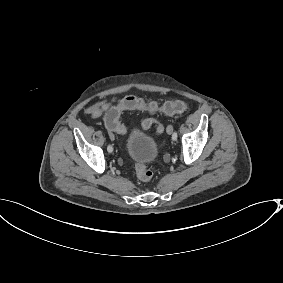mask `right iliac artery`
Segmentation results:
<instances>
[{"mask_svg":"<svg viewBox=\"0 0 283 283\" xmlns=\"http://www.w3.org/2000/svg\"><path fill=\"white\" fill-rule=\"evenodd\" d=\"M107 151H108V152H112V151H113V147H112V145H110V144L108 145V147H107Z\"/></svg>","mask_w":283,"mask_h":283,"instance_id":"obj_1","label":"right iliac artery"}]
</instances>
